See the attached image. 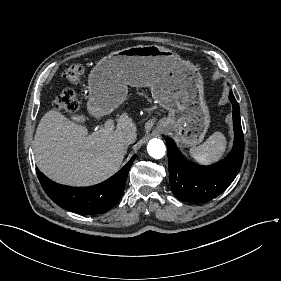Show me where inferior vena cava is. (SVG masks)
<instances>
[{"mask_svg": "<svg viewBox=\"0 0 281 281\" xmlns=\"http://www.w3.org/2000/svg\"><path fill=\"white\" fill-rule=\"evenodd\" d=\"M136 132L135 131H129V132H123L118 136V141L123 144H131L136 139Z\"/></svg>", "mask_w": 281, "mask_h": 281, "instance_id": "602c4592", "label": "inferior vena cava"}]
</instances>
